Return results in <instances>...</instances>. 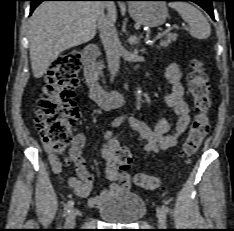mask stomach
<instances>
[{"label":"stomach","instance_id":"obj_1","mask_svg":"<svg viewBox=\"0 0 234 231\" xmlns=\"http://www.w3.org/2000/svg\"><path fill=\"white\" fill-rule=\"evenodd\" d=\"M129 13L135 22L148 27H158L164 24L168 17L166 3L156 0L133 2Z\"/></svg>","mask_w":234,"mask_h":231}]
</instances>
